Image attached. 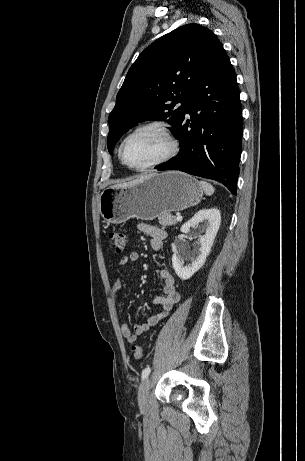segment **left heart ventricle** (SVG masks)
<instances>
[{"label":"left heart ventricle","mask_w":305,"mask_h":461,"mask_svg":"<svg viewBox=\"0 0 305 461\" xmlns=\"http://www.w3.org/2000/svg\"><path fill=\"white\" fill-rule=\"evenodd\" d=\"M168 149L169 142L160 131L147 129L126 142L124 156L129 164L142 166L161 158Z\"/></svg>","instance_id":"1"}]
</instances>
